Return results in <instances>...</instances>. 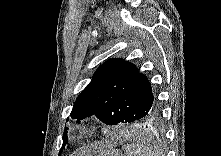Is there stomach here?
<instances>
[{"instance_id":"0dacf381","label":"stomach","mask_w":221,"mask_h":156,"mask_svg":"<svg viewBox=\"0 0 221 156\" xmlns=\"http://www.w3.org/2000/svg\"><path fill=\"white\" fill-rule=\"evenodd\" d=\"M96 156H124L119 150L116 149H102L97 152Z\"/></svg>"}]
</instances>
